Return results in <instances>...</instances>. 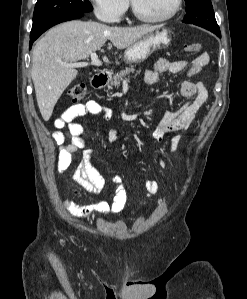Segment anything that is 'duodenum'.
Returning a JSON list of instances; mask_svg holds the SVG:
<instances>
[{"label":"duodenum","mask_w":247,"mask_h":299,"mask_svg":"<svg viewBox=\"0 0 247 299\" xmlns=\"http://www.w3.org/2000/svg\"><path fill=\"white\" fill-rule=\"evenodd\" d=\"M109 76H110V73L108 71H102L100 73L95 74L91 81L92 86L95 89L103 88L107 84V82L109 80Z\"/></svg>","instance_id":"obj_1"}]
</instances>
